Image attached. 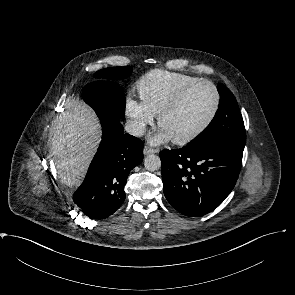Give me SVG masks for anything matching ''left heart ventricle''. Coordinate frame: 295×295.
Here are the masks:
<instances>
[{
  "label": "left heart ventricle",
  "instance_id": "obj_1",
  "mask_svg": "<svg viewBox=\"0 0 295 295\" xmlns=\"http://www.w3.org/2000/svg\"><path fill=\"white\" fill-rule=\"evenodd\" d=\"M215 106V93L207 84L194 87L180 106L162 121L174 139L185 138L198 130L210 117Z\"/></svg>",
  "mask_w": 295,
  "mask_h": 295
}]
</instances>
